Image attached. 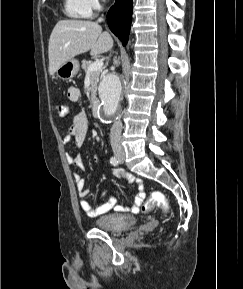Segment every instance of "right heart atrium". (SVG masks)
I'll return each instance as SVG.
<instances>
[{"instance_id":"d8ad5b80","label":"right heart atrium","mask_w":243,"mask_h":289,"mask_svg":"<svg viewBox=\"0 0 243 289\" xmlns=\"http://www.w3.org/2000/svg\"><path fill=\"white\" fill-rule=\"evenodd\" d=\"M88 16L95 14L102 7L103 0H78Z\"/></svg>"}]
</instances>
